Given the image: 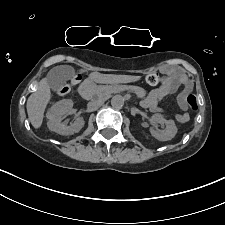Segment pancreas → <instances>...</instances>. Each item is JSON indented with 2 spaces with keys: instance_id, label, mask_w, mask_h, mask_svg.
<instances>
[{
  "instance_id": "cf45deb5",
  "label": "pancreas",
  "mask_w": 225,
  "mask_h": 225,
  "mask_svg": "<svg viewBox=\"0 0 225 225\" xmlns=\"http://www.w3.org/2000/svg\"><path fill=\"white\" fill-rule=\"evenodd\" d=\"M97 93L101 95H107L110 93L121 92V91H131L135 93L139 98H144L147 94L146 90L138 86H127V85H105L95 87Z\"/></svg>"
}]
</instances>
